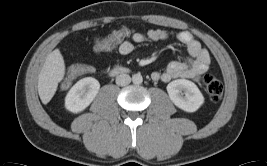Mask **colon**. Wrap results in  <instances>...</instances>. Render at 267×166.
Wrapping results in <instances>:
<instances>
[{"mask_svg":"<svg viewBox=\"0 0 267 166\" xmlns=\"http://www.w3.org/2000/svg\"><path fill=\"white\" fill-rule=\"evenodd\" d=\"M133 35V28L130 25H123L121 28L114 30L111 33V36L107 38H98L95 39L93 46L96 51H108L114 48L117 43L124 42L127 38H130ZM79 70L85 73L88 70L87 66H79ZM77 76L74 71L66 76L62 82L61 88L67 90L71 84V80ZM203 83L206 88L209 99L212 102L219 101L223 96V85L221 81L215 77L213 74H205L203 77Z\"/></svg>","mask_w":267,"mask_h":166,"instance_id":"obj_1","label":"colon"}]
</instances>
